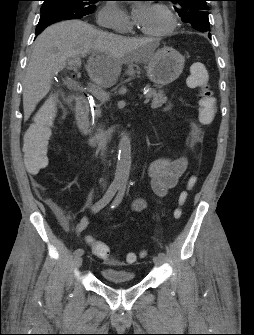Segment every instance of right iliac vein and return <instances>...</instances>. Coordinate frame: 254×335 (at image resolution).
<instances>
[{
    "instance_id": "right-iliac-vein-1",
    "label": "right iliac vein",
    "mask_w": 254,
    "mask_h": 335,
    "mask_svg": "<svg viewBox=\"0 0 254 335\" xmlns=\"http://www.w3.org/2000/svg\"><path fill=\"white\" fill-rule=\"evenodd\" d=\"M82 262H83L82 256H75L74 265L76 268H79L82 265Z\"/></svg>"
}]
</instances>
